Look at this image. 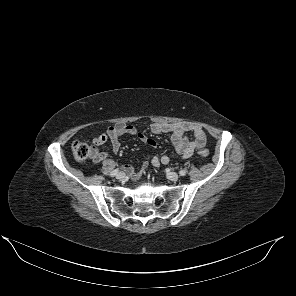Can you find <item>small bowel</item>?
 Instances as JSON below:
<instances>
[{"mask_svg": "<svg viewBox=\"0 0 296 296\" xmlns=\"http://www.w3.org/2000/svg\"><path fill=\"white\" fill-rule=\"evenodd\" d=\"M150 131L154 134H170L172 144L176 152L184 159H187L193 155V153L202 147L206 143V134L201 126L191 122H155L150 126ZM192 135V138L188 137V134ZM122 135H137L141 141L149 146L155 147L156 142L153 139L142 132L138 131L135 126L126 123H118L116 125L109 126L99 136L92 139L94 146H101L106 141L111 142V148L113 153H118L121 149L120 137ZM106 152H96V156L93 158L95 162L103 161L107 158ZM170 162V157L167 155L158 156L154 155L151 159V164L158 168L161 165H167ZM148 166V162L145 161L142 164L140 171H137L132 165H124V170L128 173L131 179H138Z\"/></svg>", "mask_w": 296, "mask_h": 296, "instance_id": "1", "label": "small bowel"}]
</instances>
